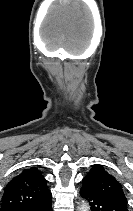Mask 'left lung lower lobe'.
<instances>
[{
  "label": "left lung lower lobe",
  "mask_w": 133,
  "mask_h": 211,
  "mask_svg": "<svg viewBox=\"0 0 133 211\" xmlns=\"http://www.w3.org/2000/svg\"><path fill=\"white\" fill-rule=\"evenodd\" d=\"M80 194L88 200L91 211H128L127 203L98 195L82 188Z\"/></svg>",
  "instance_id": "1"
}]
</instances>
